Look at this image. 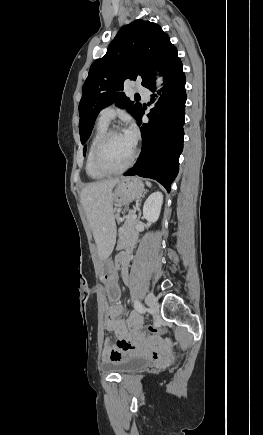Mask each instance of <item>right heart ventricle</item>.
Here are the masks:
<instances>
[{
  "label": "right heart ventricle",
  "instance_id": "right-heart-ventricle-1",
  "mask_svg": "<svg viewBox=\"0 0 263 435\" xmlns=\"http://www.w3.org/2000/svg\"><path fill=\"white\" fill-rule=\"evenodd\" d=\"M107 129H108V123L98 121L88 146L86 162H85V171L87 176L93 180H99L106 176L95 169L92 162V155L97 141Z\"/></svg>",
  "mask_w": 263,
  "mask_h": 435
}]
</instances>
